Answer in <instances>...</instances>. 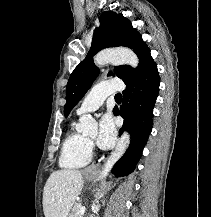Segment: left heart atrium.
Wrapping results in <instances>:
<instances>
[{"mask_svg": "<svg viewBox=\"0 0 211 217\" xmlns=\"http://www.w3.org/2000/svg\"><path fill=\"white\" fill-rule=\"evenodd\" d=\"M116 138V128L110 115H105L100 120L97 144L102 149L110 148Z\"/></svg>", "mask_w": 211, "mask_h": 217, "instance_id": "1", "label": "left heart atrium"}]
</instances>
